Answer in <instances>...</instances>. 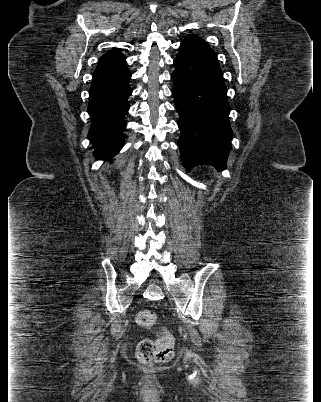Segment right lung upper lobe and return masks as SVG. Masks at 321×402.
<instances>
[{
	"label": "right lung upper lobe",
	"mask_w": 321,
	"mask_h": 402,
	"mask_svg": "<svg viewBox=\"0 0 321 402\" xmlns=\"http://www.w3.org/2000/svg\"><path fill=\"white\" fill-rule=\"evenodd\" d=\"M126 64L125 56L117 49L114 48L112 51L104 54L100 60L98 65H123Z\"/></svg>",
	"instance_id": "right-lung-upper-lobe-1"
}]
</instances>
